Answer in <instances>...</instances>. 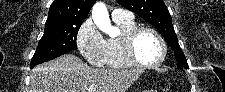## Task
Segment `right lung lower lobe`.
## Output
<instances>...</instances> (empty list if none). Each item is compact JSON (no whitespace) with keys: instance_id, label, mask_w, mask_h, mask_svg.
<instances>
[{"instance_id":"right-lung-lower-lobe-1","label":"right lung lower lobe","mask_w":225,"mask_h":92,"mask_svg":"<svg viewBox=\"0 0 225 92\" xmlns=\"http://www.w3.org/2000/svg\"><path fill=\"white\" fill-rule=\"evenodd\" d=\"M35 66H30V68H34Z\"/></svg>"}]
</instances>
